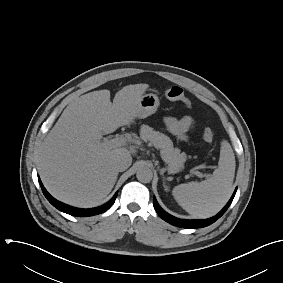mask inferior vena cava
<instances>
[{
    "label": "inferior vena cava",
    "mask_w": 283,
    "mask_h": 283,
    "mask_svg": "<svg viewBox=\"0 0 283 283\" xmlns=\"http://www.w3.org/2000/svg\"><path fill=\"white\" fill-rule=\"evenodd\" d=\"M132 163V157L130 155L120 156L115 161V167L118 171H125Z\"/></svg>",
    "instance_id": "obj_1"
}]
</instances>
